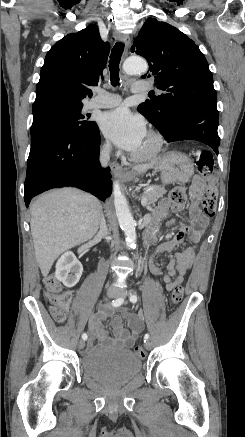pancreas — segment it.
Masks as SVG:
<instances>
[{
	"instance_id": "obj_1",
	"label": "pancreas",
	"mask_w": 245,
	"mask_h": 437,
	"mask_svg": "<svg viewBox=\"0 0 245 437\" xmlns=\"http://www.w3.org/2000/svg\"><path fill=\"white\" fill-rule=\"evenodd\" d=\"M166 193L163 186L152 185L148 187L147 191L144 192L143 196L147 199L148 205H154L159 198H161Z\"/></svg>"
}]
</instances>
